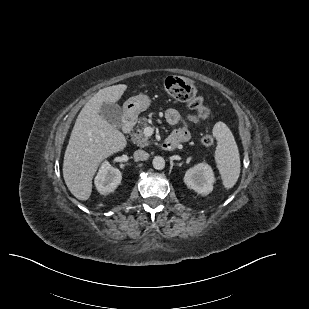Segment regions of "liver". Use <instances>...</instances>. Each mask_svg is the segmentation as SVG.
Listing matches in <instances>:
<instances>
[{
  "mask_svg": "<svg viewBox=\"0 0 309 309\" xmlns=\"http://www.w3.org/2000/svg\"><path fill=\"white\" fill-rule=\"evenodd\" d=\"M126 89L127 85L119 84L99 90L76 119L64 155L63 177L79 200L89 199L99 164L126 147L125 136L100 115L102 104L117 102Z\"/></svg>",
  "mask_w": 309,
  "mask_h": 309,
  "instance_id": "liver-1",
  "label": "liver"
}]
</instances>
